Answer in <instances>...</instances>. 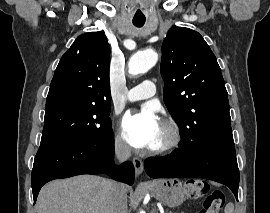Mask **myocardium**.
Returning <instances> with one entry per match:
<instances>
[{
  "label": "myocardium",
  "mask_w": 270,
  "mask_h": 213,
  "mask_svg": "<svg viewBox=\"0 0 270 213\" xmlns=\"http://www.w3.org/2000/svg\"><path fill=\"white\" fill-rule=\"evenodd\" d=\"M161 125L164 128L165 136L162 143L149 149V153L153 155L170 152L177 148L181 143V131L174 120L171 118H164L161 120Z\"/></svg>",
  "instance_id": "1"
}]
</instances>
